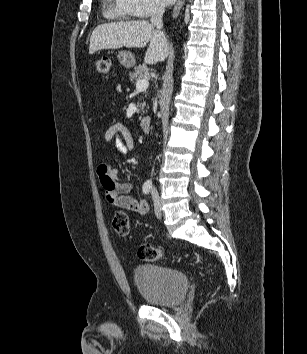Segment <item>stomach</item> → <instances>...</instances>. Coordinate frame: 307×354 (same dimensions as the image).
Wrapping results in <instances>:
<instances>
[{"instance_id":"1","label":"stomach","mask_w":307,"mask_h":354,"mask_svg":"<svg viewBox=\"0 0 307 354\" xmlns=\"http://www.w3.org/2000/svg\"><path fill=\"white\" fill-rule=\"evenodd\" d=\"M117 58L119 63L127 69L132 68L136 63L134 55L128 51L119 52Z\"/></svg>"}]
</instances>
